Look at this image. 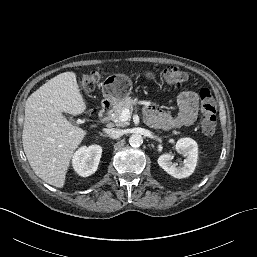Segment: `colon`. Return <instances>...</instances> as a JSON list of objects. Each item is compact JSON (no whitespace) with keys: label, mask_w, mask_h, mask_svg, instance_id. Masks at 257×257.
Wrapping results in <instances>:
<instances>
[{"label":"colon","mask_w":257,"mask_h":257,"mask_svg":"<svg viewBox=\"0 0 257 257\" xmlns=\"http://www.w3.org/2000/svg\"><path fill=\"white\" fill-rule=\"evenodd\" d=\"M158 74L161 78L171 85H180L187 81L188 75L183 70L177 67H169ZM101 79V74L97 71H90L81 79V86L85 91H91ZM201 102V118L200 125L204 134L213 135L216 129V105L214 98L207 88H202L199 91Z\"/></svg>","instance_id":"obj_1"}]
</instances>
